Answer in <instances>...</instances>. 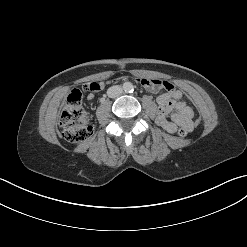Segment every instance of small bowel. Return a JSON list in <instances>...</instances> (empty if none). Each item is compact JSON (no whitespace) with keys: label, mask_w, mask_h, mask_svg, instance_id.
<instances>
[{"label":"small bowel","mask_w":247,"mask_h":247,"mask_svg":"<svg viewBox=\"0 0 247 247\" xmlns=\"http://www.w3.org/2000/svg\"><path fill=\"white\" fill-rule=\"evenodd\" d=\"M140 84L151 92H164L157 97L158 112L157 123L167 132L175 133L178 127L191 130L193 128V109L182 98V91L176 88L172 83L159 80V79H147L143 78L139 80ZM96 90H101L105 87L106 83L100 81L95 83ZM94 98L93 93L87 95L88 100ZM172 113L171 118L168 115Z\"/></svg>","instance_id":"c3829d8e"}]
</instances>
